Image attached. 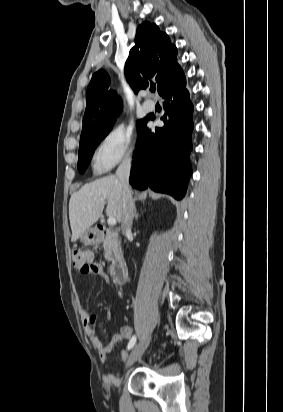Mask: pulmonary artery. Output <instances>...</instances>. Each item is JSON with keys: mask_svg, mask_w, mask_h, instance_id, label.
I'll return each mask as SVG.
<instances>
[{"mask_svg": "<svg viewBox=\"0 0 283 412\" xmlns=\"http://www.w3.org/2000/svg\"><path fill=\"white\" fill-rule=\"evenodd\" d=\"M143 109H144L146 112H151V111L154 110V105L151 104V103L146 102V103L143 104Z\"/></svg>", "mask_w": 283, "mask_h": 412, "instance_id": "1", "label": "pulmonary artery"}]
</instances>
